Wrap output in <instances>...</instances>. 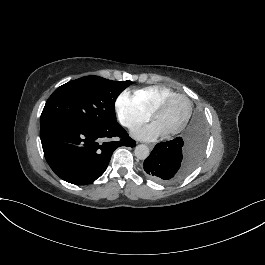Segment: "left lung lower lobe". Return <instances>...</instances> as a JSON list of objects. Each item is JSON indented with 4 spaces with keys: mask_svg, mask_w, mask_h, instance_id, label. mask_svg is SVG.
I'll return each instance as SVG.
<instances>
[{
    "mask_svg": "<svg viewBox=\"0 0 265 265\" xmlns=\"http://www.w3.org/2000/svg\"><path fill=\"white\" fill-rule=\"evenodd\" d=\"M203 117L196 113L182 136L158 143L144 161L147 176L158 183H173L188 175L199 163L206 144Z\"/></svg>",
    "mask_w": 265,
    "mask_h": 265,
    "instance_id": "left-lung-lower-lobe-1",
    "label": "left lung lower lobe"
}]
</instances>
